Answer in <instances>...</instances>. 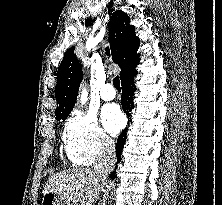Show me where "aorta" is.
Here are the masks:
<instances>
[{"instance_id": "762f6f07", "label": "aorta", "mask_w": 222, "mask_h": 205, "mask_svg": "<svg viewBox=\"0 0 222 205\" xmlns=\"http://www.w3.org/2000/svg\"><path fill=\"white\" fill-rule=\"evenodd\" d=\"M87 96H88V92L86 89H83L82 90V93H81V103L84 104L86 101H87Z\"/></svg>"}]
</instances>
